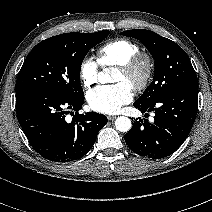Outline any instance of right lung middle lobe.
I'll return each instance as SVG.
<instances>
[{
  "label": "right lung middle lobe",
  "instance_id": "right-lung-middle-lobe-1",
  "mask_svg": "<svg viewBox=\"0 0 212 212\" xmlns=\"http://www.w3.org/2000/svg\"><path fill=\"white\" fill-rule=\"evenodd\" d=\"M109 35L108 30L95 33H65L38 43L21 67L16 92L46 89L64 97L83 96L80 66L88 51Z\"/></svg>",
  "mask_w": 212,
  "mask_h": 212
}]
</instances>
